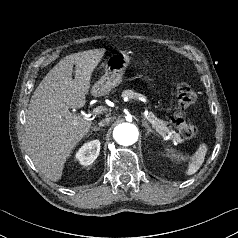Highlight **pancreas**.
Masks as SVG:
<instances>
[{"label": "pancreas", "mask_w": 238, "mask_h": 238, "mask_svg": "<svg viewBox=\"0 0 238 238\" xmlns=\"http://www.w3.org/2000/svg\"><path fill=\"white\" fill-rule=\"evenodd\" d=\"M122 97H127L129 99H141L144 96L140 93H136L132 90H125L122 92ZM149 118L154 121L153 127L163 136L168 134L175 142L181 143L182 139L180 135L174 132L171 127H167V122L158 119L153 113H149Z\"/></svg>", "instance_id": "obj_1"}]
</instances>
